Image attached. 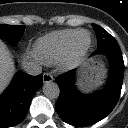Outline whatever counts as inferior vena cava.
I'll use <instances>...</instances> for the list:
<instances>
[{
	"instance_id": "obj_1",
	"label": "inferior vena cava",
	"mask_w": 128,
	"mask_h": 128,
	"mask_svg": "<svg viewBox=\"0 0 128 128\" xmlns=\"http://www.w3.org/2000/svg\"><path fill=\"white\" fill-rule=\"evenodd\" d=\"M23 68L27 74L33 75V76L39 75L42 72V67L35 62H26L23 65Z\"/></svg>"
}]
</instances>
